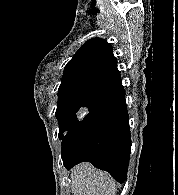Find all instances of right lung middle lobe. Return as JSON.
<instances>
[{
  "instance_id": "1",
  "label": "right lung middle lobe",
  "mask_w": 178,
  "mask_h": 195,
  "mask_svg": "<svg viewBox=\"0 0 178 195\" xmlns=\"http://www.w3.org/2000/svg\"><path fill=\"white\" fill-rule=\"evenodd\" d=\"M96 96L89 94H72L58 97L56 118L59 121V139L63 141L71 130L83 119Z\"/></svg>"
}]
</instances>
